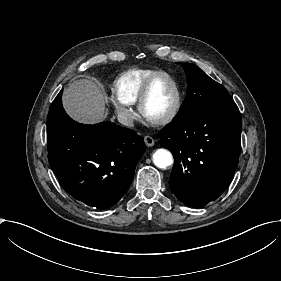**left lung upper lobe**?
Listing matches in <instances>:
<instances>
[{"instance_id": "obj_1", "label": "left lung upper lobe", "mask_w": 281, "mask_h": 281, "mask_svg": "<svg viewBox=\"0 0 281 281\" xmlns=\"http://www.w3.org/2000/svg\"><path fill=\"white\" fill-rule=\"evenodd\" d=\"M186 72L187 95L174 120L202 111L234 105L227 90L193 64L181 63Z\"/></svg>"}]
</instances>
